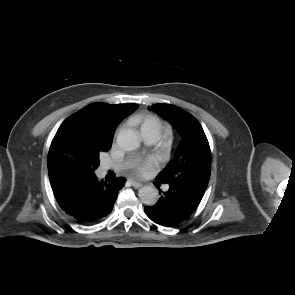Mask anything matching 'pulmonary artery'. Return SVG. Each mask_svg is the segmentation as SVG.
<instances>
[{
  "instance_id": "obj_1",
  "label": "pulmonary artery",
  "mask_w": 295,
  "mask_h": 295,
  "mask_svg": "<svg viewBox=\"0 0 295 295\" xmlns=\"http://www.w3.org/2000/svg\"><path fill=\"white\" fill-rule=\"evenodd\" d=\"M143 136V139L146 141V143H148V144H152V143H154L157 139L156 138H154L153 136H150V135H142ZM126 162H118V163H116V164H105L104 166H103V168H104V170H108V169H110L112 166H114V167H116V168H123V167H125L126 166Z\"/></svg>"
}]
</instances>
